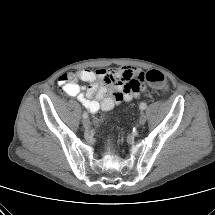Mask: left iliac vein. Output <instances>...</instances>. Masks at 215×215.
Masks as SVG:
<instances>
[{"label":"left iliac vein","mask_w":215,"mask_h":215,"mask_svg":"<svg viewBox=\"0 0 215 215\" xmlns=\"http://www.w3.org/2000/svg\"><path fill=\"white\" fill-rule=\"evenodd\" d=\"M146 122V115L144 113H141V116L139 118V125H144Z\"/></svg>","instance_id":"1"}]
</instances>
